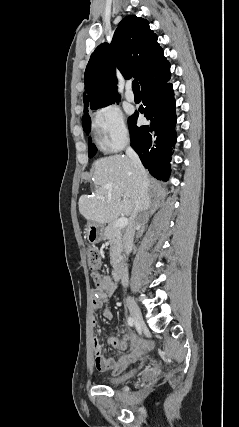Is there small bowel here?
I'll use <instances>...</instances> for the list:
<instances>
[{
  "label": "small bowel",
  "mask_w": 239,
  "mask_h": 427,
  "mask_svg": "<svg viewBox=\"0 0 239 427\" xmlns=\"http://www.w3.org/2000/svg\"><path fill=\"white\" fill-rule=\"evenodd\" d=\"M118 286V281L107 276L101 277L98 284L92 289V308L94 310L103 309V317L106 320L113 318V313L108 305L109 298L114 294ZM92 326L95 331L94 335V365L99 371H111L114 374H119L125 370L130 364L134 363L145 350L152 346L150 341L140 339L135 333H127L124 329L119 328L118 331L122 335L121 338H110L109 344L123 351L124 354L117 360L103 354V347L100 342V334L98 330V320L96 317L92 320Z\"/></svg>",
  "instance_id": "1"
}]
</instances>
